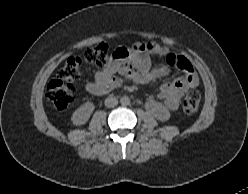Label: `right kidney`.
Returning <instances> with one entry per match:
<instances>
[{
	"label": "right kidney",
	"instance_id": "1",
	"mask_svg": "<svg viewBox=\"0 0 248 194\" xmlns=\"http://www.w3.org/2000/svg\"><path fill=\"white\" fill-rule=\"evenodd\" d=\"M94 109H95V105L91 102H86V103L82 104L72 114V116H71L72 123L76 126H80V125L85 124L89 120Z\"/></svg>",
	"mask_w": 248,
	"mask_h": 194
}]
</instances>
